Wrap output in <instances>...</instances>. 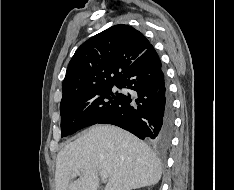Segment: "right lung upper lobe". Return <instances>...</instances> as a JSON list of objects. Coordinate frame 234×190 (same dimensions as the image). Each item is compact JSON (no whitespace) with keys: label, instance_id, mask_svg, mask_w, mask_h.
<instances>
[{"label":"right lung upper lobe","instance_id":"cb5924a9","mask_svg":"<svg viewBox=\"0 0 234 190\" xmlns=\"http://www.w3.org/2000/svg\"><path fill=\"white\" fill-rule=\"evenodd\" d=\"M150 46L141 32L124 24L91 37L77 49L68 64L61 103L117 84L126 68Z\"/></svg>","mask_w":234,"mask_h":190}]
</instances>
